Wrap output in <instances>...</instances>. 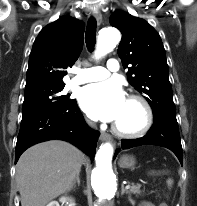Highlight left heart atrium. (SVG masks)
<instances>
[{
  "label": "left heart atrium",
  "mask_w": 197,
  "mask_h": 206,
  "mask_svg": "<svg viewBox=\"0 0 197 206\" xmlns=\"http://www.w3.org/2000/svg\"><path fill=\"white\" fill-rule=\"evenodd\" d=\"M81 108L95 120L116 122L125 107L126 98L117 81H106L86 86L79 97Z\"/></svg>",
  "instance_id": "left-heart-atrium-1"
}]
</instances>
